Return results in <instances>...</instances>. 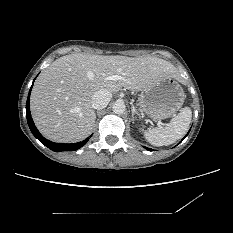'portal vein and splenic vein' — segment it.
Here are the masks:
<instances>
[{"label":"portal vein and splenic vein","mask_w":233,"mask_h":233,"mask_svg":"<svg viewBox=\"0 0 233 233\" xmlns=\"http://www.w3.org/2000/svg\"><path fill=\"white\" fill-rule=\"evenodd\" d=\"M121 79H122V76H119V75H112L106 78V80H113V81L121 80Z\"/></svg>","instance_id":"obj_1"}]
</instances>
